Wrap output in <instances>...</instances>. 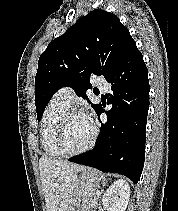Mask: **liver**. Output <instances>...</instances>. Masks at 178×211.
<instances>
[{
    "label": "liver",
    "mask_w": 178,
    "mask_h": 211,
    "mask_svg": "<svg viewBox=\"0 0 178 211\" xmlns=\"http://www.w3.org/2000/svg\"><path fill=\"white\" fill-rule=\"evenodd\" d=\"M84 169V166L64 160L40 158L39 170L47 211H68L77 173Z\"/></svg>",
    "instance_id": "liver-1"
}]
</instances>
